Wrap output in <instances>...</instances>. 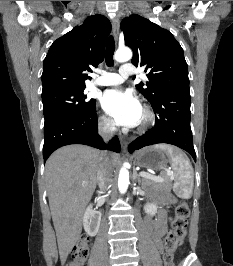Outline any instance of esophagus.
Segmentation results:
<instances>
[{"mask_svg": "<svg viewBox=\"0 0 233 266\" xmlns=\"http://www.w3.org/2000/svg\"><path fill=\"white\" fill-rule=\"evenodd\" d=\"M112 31H113V36L115 40L117 41L118 36H119V19L117 17L114 18L112 21ZM120 144H121L122 150L126 151L127 145H128L127 141L124 138H121Z\"/></svg>", "mask_w": 233, "mask_h": 266, "instance_id": "obj_1", "label": "esophagus"}]
</instances>
